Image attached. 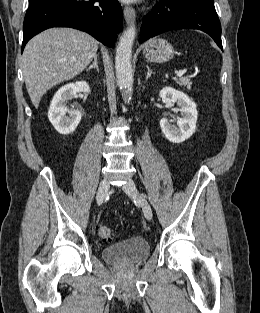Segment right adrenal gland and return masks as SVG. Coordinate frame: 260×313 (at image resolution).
I'll use <instances>...</instances> for the list:
<instances>
[{"mask_svg": "<svg viewBox=\"0 0 260 313\" xmlns=\"http://www.w3.org/2000/svg\"><path fill=\"white\" fill-rule=\"evenodd\" d=\"M97 58H98V55L95 54V56H94V61H93V63L86 69L87 71H89L90 69L95 68V69H97V71L99 72L98 60H97Z\"/></svg>", "mask_w": 260, "mask_h": 313, "instance_id": "right-adrenal-gland-1", "label": "right adrenal gland"}]
</instances>
